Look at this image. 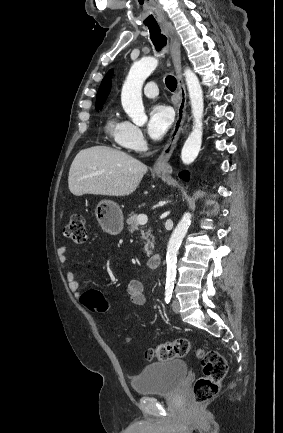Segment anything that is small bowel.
<instances>
[{"mask_svg":"<svg viewBox=\"0 0 283 433\" xmlns=\"http://www.w3.org/2000/svg\"><path fill=\"white\" fill-rule=\"evenodd\" d=\"M57 255L60 263L67 264L68 262V249L66 246H60L57 249ZM67 284L70 291L76 298L80 297L79 284L75 279V275L72 271L67 273ZM127 292L130 301L135 306H143L146 302V297L144 294V286L141 281L133 279L129 281L127 286Z\"/></svg>","mask_w":283,"mask_h":433,"instance_id":"c3829d8e","label":"small bowel"}]
</instances>
